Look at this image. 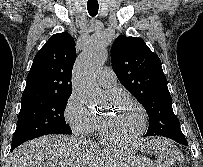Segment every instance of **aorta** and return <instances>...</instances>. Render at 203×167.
Wrapping results in <instances>:
<instances>
[{"mask_svg": "<svg viewBox=\"0 0 203 167\" xmlns=\"http://www.w3.org/2000/svg\"><path fill=\"white\" fill-rule=\"evenodd\" d=\"M107 50L97 42H91L78 57L73 70V90L88 106L96 105L102 96L96 84L95 74L107 60Z\"/></svg>", "mask_w": 203, "mask_h": 167, "instance_id": "762f6f07", "label": "aorta"}]
</instances>
